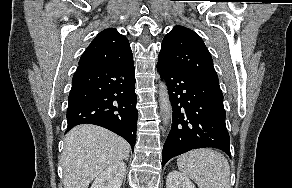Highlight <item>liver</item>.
<instances>
[{
    "instance_id": "6515ba94",
    "label": "liver",
    "mask_w": 292,
    "mask_h": 188,
    "mask_svg": "<svg viewBox=\"0 0 292 188\" xmlns=\"http://www.w3.org/2000/svg\"><path fill=\"white\" fill-rule=\"evenodd\" d=\"M130 145L104 128L83 124L65 137L61 157L64 188H88L105 168L126 159Z\"/></svg>"
}]
</instances>
